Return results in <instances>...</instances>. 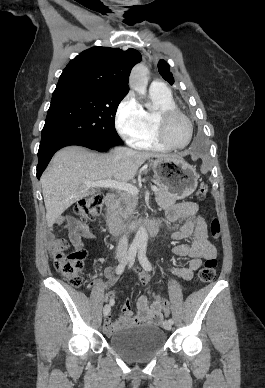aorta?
<instances>
[{
	"mask_svg": "<svg viewBox=\"0 0 265 388\" xmlns=\"http://www.w3.org/2000/svg\"><path fill=\"white\" fill-rule=\"evenodd\" d=\"M147 73V67L143 64H139L133 68L130 75L129 85L131 89H133L140 95L146 94V88L148 84ZM147 242V230L143 226H140L134 238L133 244L137 247H145L147 245Z\"/></svg>",
	"mask_w": 265,
	"mask_h": 388,
	"instance_id": "aorta-1",
	"label": "aorta"
}]
</instances>
